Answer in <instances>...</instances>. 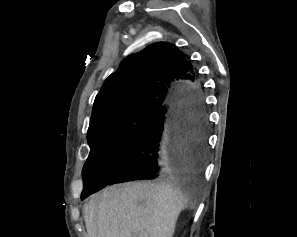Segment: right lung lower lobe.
<instances>
[{
	"instance_id": "1",
	"label": "right lung lower lobe",
	"mask_w": 297,
	"mask_h": 237,
	"mask_svg": "<svg viewBox=\"0 0 297 237\" xmlns=\"http://www.w3.org/2000/svg\"><path fill=\"white\" fill-rule=\"evenodd\" d=\"M207 154V118L201 84L194 76L175 87L168 103L152 112L104 187L135 180L200 173Z\"/></svg>"
}]
</instances>
